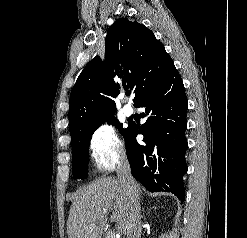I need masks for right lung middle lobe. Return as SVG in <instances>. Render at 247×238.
<instances>
[{
	"instance_id": "dd1d6c3e",
	"label": "right lung middle lobe",
	"mask_w": 247,
	"mask_h": 238,
	"mask_svg": "<svg viewBox=\"0 0 247 238\" xmlns=\"http://www.w3.org/2000/svg\"><path fill=\"white\" fill-rule=\"evenodd\" d=\"M108 123L115 125L120 133L125 136L127 129H123L117 119L111 118L108 120ZM101 124L91 128L74 145H72V170L74 179H84L87 176L90 140L94 131Z\"/></svg>"
}]
</instances>
